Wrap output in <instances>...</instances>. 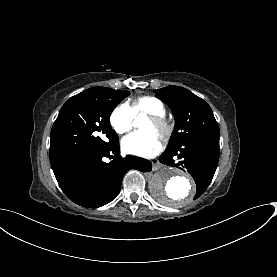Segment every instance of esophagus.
Segmentation results:
<instances>
[{
    "mask_svg": "<svg viewBox=\"0 0 277 277\" xmlns=\"http://www.w3.org/2000/svg\"><path fill=\"white\" fill-rule=\"evenodd\" d=\"M151 164H152V170L153 171H157V170H159L163 167V164L160 163L158 158H155V159L151 160Z\"/></svg>",
    "mask_w": 277,
    "mask_h": 277,
    "instance_id": "obj_1",
    "label": "esophagus"
}]
</instances>
